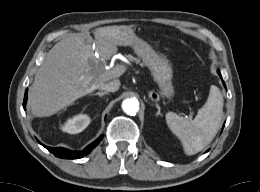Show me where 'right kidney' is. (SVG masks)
I'll use <instances>...</instances> for the list:
<instances>
[{
	"instance_id": "obj_1",
	"label": "right kidney",
	"mask_w": 260,
	"mask_h": 192,
	"mask_svg": "<svg viewBox=\"0 0 260 192\" xmlns=\"http://www.w3.org/2000/svg\"><path fill=\"white\" fill-rule=\"evenodd\" d=\"M89 123L90 118L87 115H77L65 123L63 131L70 134L80 133L89 125Z\"/></svg>"
}]
</instances>
